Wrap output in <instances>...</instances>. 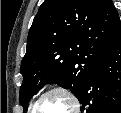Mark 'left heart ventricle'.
Segmentation results:
<instances>
[{"label": "left heart ventricle", "instance_id": "1", "mask_svg": "<svg viewBox=\"0 0 121 113\" xmlns=\"http://www.w3.org/2000/svg\"><path fill=\"white\" fill-rule=\"evenodd\" d=\"M71 102L60 93L47 96L40 104V113H61L71 110Z\"/></svg>", "mask_w": 121, "mask_h": 113}]
</instances>
